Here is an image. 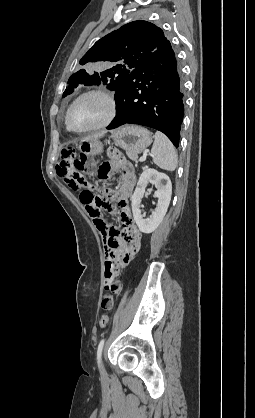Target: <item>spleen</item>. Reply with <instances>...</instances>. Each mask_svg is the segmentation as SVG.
<instances>
[{"label": "spleen", "instance_id": "3e777b00", "mask_svg": "<svg viewBox=\"0 0 255 418\" xmlns=\"http://www.w3.org/2000/svg\"><path fill=\"white\" fill-rule=\"evenodd\" d=\"M152 146L153 162L159 168L174 171L177 167V153L171 141L161 132L155 133Z\"/></svg>", "mask_w": 255, "mask_h": 418}]
</instances>
